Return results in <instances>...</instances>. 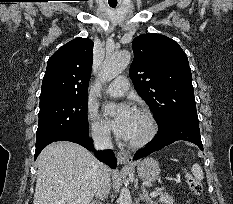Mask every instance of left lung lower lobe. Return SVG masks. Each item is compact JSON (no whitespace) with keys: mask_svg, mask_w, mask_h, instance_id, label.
<instances>
[{"mask_svg":"<svg viewBox=\"0 0 233 204\" xmlns=\"http://www.w3.org/2000/svg\"><path fill=\"white\" fill-rule=\"evenodd\" d=\"M178 140L192 142L203 151L198 121L173 120L165 126H158V134L145 148L136 152L133 160L146 157Z\"/></svg>","mask_w":233,"mask_h":204,"instance_id":"left-lung-lower-lobe-1","label":"left lung lower lobe"}]
</instances>
